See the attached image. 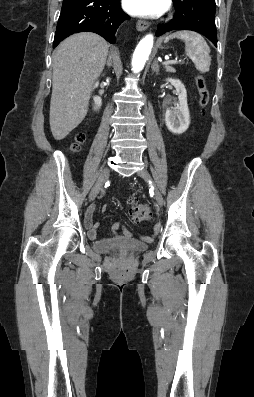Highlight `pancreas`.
I'll return each instance as SVG.
<instances>
[{
	"instance_id": "cf45deb5",
	"label": "pancreas",
	"mask_w": 254,
	"mask_h": 397,
	"mask_svg": "<svg viewBox=\"0 0 254 397\" xmlns=\"http://www.w3.org/2000/svg\"><path fill=\"white\" fill-rule=\"evenodd\" d=\"M165 70L167 72H171V73H175L176 72V70L173 67H171V66H165Z\"/></svg>"
}]
</instances>
